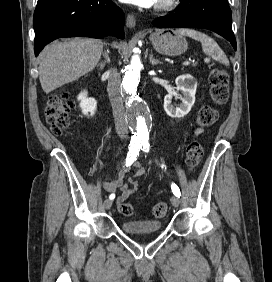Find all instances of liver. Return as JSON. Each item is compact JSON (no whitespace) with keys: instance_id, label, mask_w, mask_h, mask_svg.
Segmentation results:
<instances>
[{"instance_id":"6515ba94","label":"liver","mask_w":272,"mask_h":282,"mask_svg":"<svg viewBox=\"0 0 272 282\" xmlns=\"http://www.w3.org/2000/svg\"><path fill=\"white\" fill-rule=\"evenodd\" d=\"M99 39L73 38L47 45L39 55V80L48 94L92 71L101 58Z\"/></svg>"}]
</instances>
